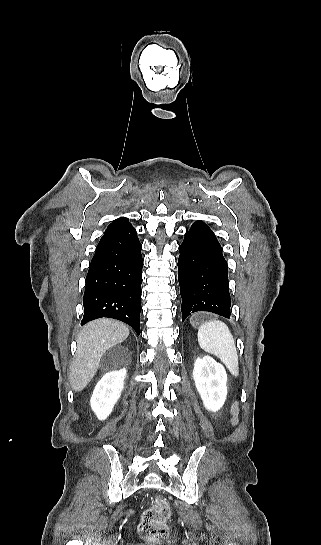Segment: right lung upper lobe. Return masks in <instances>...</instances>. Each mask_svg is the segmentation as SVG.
I'll return each mask as SVG.
<instances>
[{"mask_svg":"<svg viewBox=\"0 0 321 545\" xmlns=\"http://www.w3.org/2000/svg\"><path fill=\"white\" fill-rule=\"evenodd\" d=\"M131 224L128 222V219L127 218H119V219H116L114 220L106 229V231L104 232V234L108 233V232H111V231H114V230H117V229H121V228H124V227H127V226H130Z\"/></svg>","mask_w":321,"mask_h":545,"instance_id":"right-lung-upper-lobe-1","label":"right lung upper lobe"}]
</instances>
